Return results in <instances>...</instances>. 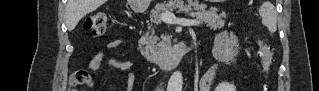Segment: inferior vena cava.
<instances>
[{
	"label": "inferior vena cava",
	"instance_id": "1",
	"mask_svg": "<svg viewBox=\"0 0 319 91\" xmlns=\"http://www.w3.org/2000/svg\"><path fill=\"white\" fill-rule=\"evenodd\" d=\"M157 91H163V90H162V86H159V87L157 88Z\"/></svg>",
	"mask_w": 319,
	"mask_h": 91
}]
</instances>
